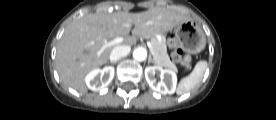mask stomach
<instances>
[{
  "mask_svg": "<svg viewBox=\"0 0 276 120\" xmlns=\"http://www.w3.org/2000/svg\"><path fill=\"white\" fill-rule=\"evenodd\" d=\"M174 37L178 45L191 54L201 52L206 45V37L203 30L190 20L177 26Z\"/></svg>",
  "mask_w": 276,
  "mask_h": 120,
  "instance_id": "1",
  "label": "stomach"
}]
</instances>
